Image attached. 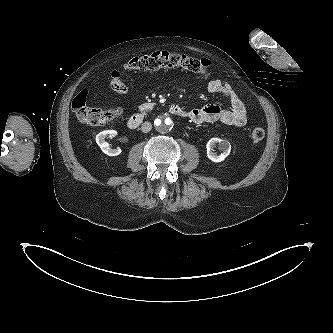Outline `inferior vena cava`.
<instances>
[{
    "instance_id": "inferior-vena-cava-1",
    "label": "inferior vena cava",
    "mask_w": 333,
    "mask_h": 333,
    "mask_svg": "<svg viewBox=\"0 0 333 333\" xmlns=\"http://www.w3.org/2000/svg\"><path fill=\"white\" fill-rule=\"evenodd\" d=\"M152 129V124L150 122H144L141 126V131L143 133H148Z\"/></svg>"
}]
</instances>
